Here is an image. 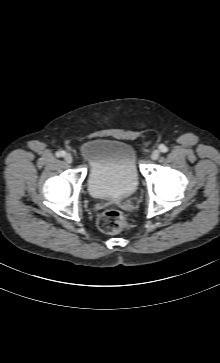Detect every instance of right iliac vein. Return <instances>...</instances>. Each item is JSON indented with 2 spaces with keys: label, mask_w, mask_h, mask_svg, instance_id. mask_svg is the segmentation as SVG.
I'll list each match as a JSON object with an SVG mask.
<instances>
[{
  "label": "right iliac vein",
  "mask_w": 220,
  "mask_h": 363,
  "mask_svg": "<svg viewBox=\"0 0 220 363\" xmlns=\"http://www.w3.org/2000/svg\"><path fill=\"white\" fill-rule=\"evenodd\" d=\"M64 160H65V162H66V163L70 164V163H72V161H73V157H72V155H71V154L67 153V154H65V156H64Z\"/></svg>",
  "instance_id": "obj_1"
}]
</instances>
